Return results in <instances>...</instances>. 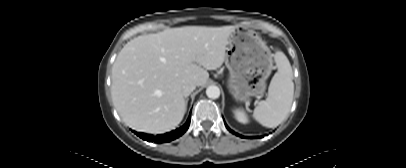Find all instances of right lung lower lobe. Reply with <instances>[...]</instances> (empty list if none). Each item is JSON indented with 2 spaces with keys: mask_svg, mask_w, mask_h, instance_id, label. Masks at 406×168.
I'll list each match as a JSON object with an SVG mask.
<instances>
[{
  "mask_svg": "<svg viewBox=\"0 0 406 168\" xmlns=\"http://www.w3.org/2000/svg\"><path fill=\"white\" fill-rule=\"evenodd\" d=\"M190 119H191V116L189 115L186 123L183 126H181L180 128H178L176 130L168 132L166 134L153 136L151 134H145V133L135 132V131H133V132L137 136H139L140 138H142L143 140H146L148 142H153V141H155L156 143L170 142V141L175 140L178 137L182 136L186 132V130L189 128V125H190Z\"/></svg>",
  "mask_w": 406,
  "mask_h": 168,
  "instance_id": "1",
  "label": "right lung lower lobe"
}]
</instances>
